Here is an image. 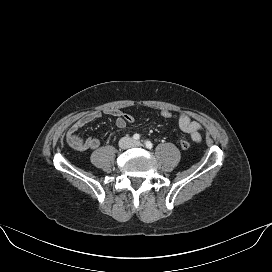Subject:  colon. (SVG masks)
Masks as SVG:
<instances>
[{
	"label": "colon",
	"mask_w": 272,
	"mask_h": 272,
	"mask_svg": "<svg viewBox=\"0 0 272 272\" xmlns=\"http://www.w3.org/2000/svg\"><path fill=\"white\" fill-rule=\"evenodd\" d=\"M160 115L164 119H170L173 116L172 112L169 111V110H162L160 112ZM123 118H124L125 122L128 123V124H131V123L135 122V117L133 115H131V114L124 113ZM189 145L190 144H189V142H188V140L186 139L185 136H182L178 140V146L183 150L189 148Z\"/></svg>",
	"instance_id": "colon-1"
}]
</instances>
